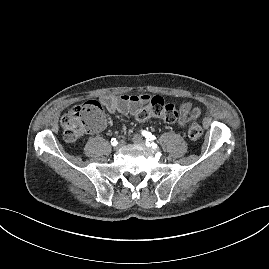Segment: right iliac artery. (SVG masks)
Returning <instances> with one entry per match:
<instances>
[{
	"label": "right iliac artery",
	"mask_w": 269,
	"mask_h": 269,
	"mask_svg": "<svg viewBox=\"0 0 269 269\" xmlns=\"http://www.w3.org/2000/svg\"><path fill=\"white\" fill-rule=\"evenodd\" d=\"M111 144L114 146L115 144H118V141L116 140V138H112L111 139Z\"/></svg>",
	"instance_id": "obj_1"
}]
</instances>
